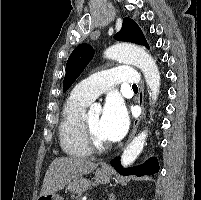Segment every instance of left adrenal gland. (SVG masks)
<instances>
[{"label": "left adrenal gland", "mask_w": 201, "mask_h": 200, "mask_svg": "<svg viewBox=\"0 0 201 200\" xmlns=\"http://www.w3.org/2000/svg\"><path fill=\"white\" fill-rule=\"evenodd\" d=\"M109 200H116V197H115V195L113 193L110 194Z\"/></svg>", "instance_id": "obj_1"}]
</instances>
